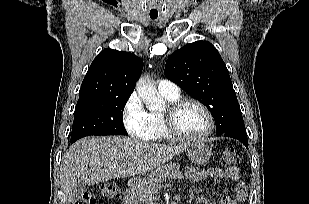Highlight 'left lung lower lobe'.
<instances>
[{"instance_id": "obj_1", "label": "left lung lower lobe", "mask_w": 309, "mask_h": 204, "mask_svg": "<svg viewBox=\"0 0 309 204\" xmlns=\"http://www.w3.org/2000/svg\"><path fill=\"white\" fill-rule=\"evenodd\" d=\"M227 136L231 138H235L241 141L246 147H248V139L246 134V129L244 125L230 128L223 132L222 134H217V136Z\"/></svg>"}]
</instances>
